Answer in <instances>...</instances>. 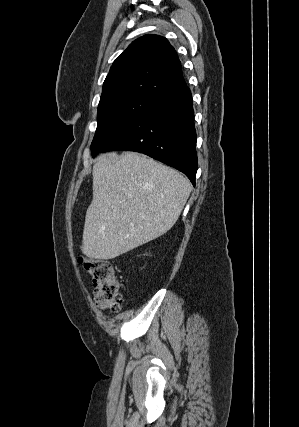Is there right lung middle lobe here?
<instances>
[{
	"instance_id": "dd1d6c3e",
	"label": "right lung middle lobe",
	"mask_w": 299,
	"mask_h": 427,
	"mask_svg": "<svg viewBox=\"0 0 299 427\" xmlns=\"http://www.w3.org/2000/svg\"><path fill=\"white\" fill-rule=\"evenodd\" d=\"M154 101L133 95L115 96L100 101L97 129L91 144L92 156L128 129Z\"/></svg>"
}]
</instances>
